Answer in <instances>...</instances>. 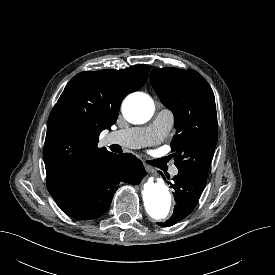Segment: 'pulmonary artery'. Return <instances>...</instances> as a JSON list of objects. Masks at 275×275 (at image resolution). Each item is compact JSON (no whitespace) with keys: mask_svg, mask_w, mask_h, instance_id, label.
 Returning <instances> with one entry per match:
<instances>
[{"mask_svg":"<svg viewBox=\"0 0 275 275\" xmlns=\"http://www.w3.org/2000/svg\"><path fill=\"white\" fill-rule=\"evenodd\" d=\"M173 114L168 109H161L153 122L146 127H131L112 132L109 141L120 146L137 149L159 143L172 126ZM171 175L178 174L177 167L170 170Z\"/></svg>","mask_w":275,"mask_h":275,"instance_id":"obj_1","label":"pulmonary artery"}]
</instances>
